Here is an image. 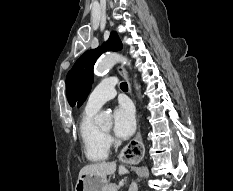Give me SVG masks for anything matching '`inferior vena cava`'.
Wrapping results in <instances>:
<instances>
[{"label":"inferior vena cava","mask_w":233,"mask_h":191,"mask_svg":"<svg viewBox=\"0 0 233 191\" xmlns=\"http://www.w3.org/2000/svg\"><path fill=\"white\" fill-rule=\"evenodd\" d=\"M129 191H138V187H137V184L135 182H133L130 185Z\"/></svg>","instance_id":"1"}]
</instances>
